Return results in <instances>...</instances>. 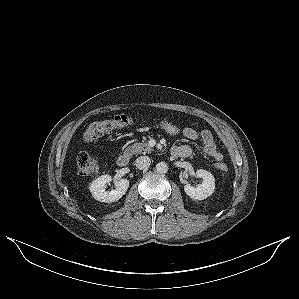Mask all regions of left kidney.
Segmentation results:
<instances>
[{
  "label": "left kidney",
  "instance_id": "1",
  "mask_svg": "<svg viewBox=\"0 0 299 299\" xmlns=\"http://www.w3.org/2000/svg\"><path fill=\"white\" fill-rule=\"evenodd\" d=\"M196 175L202 178V183L197 187H193L190 184L184 186L185 193L193 200H204L211 196L215 189V179L214 176L203 169L196 171Z\"/></svg>",
  "mask_w": 299,
  "mask_h": 299
}]
</instances>
